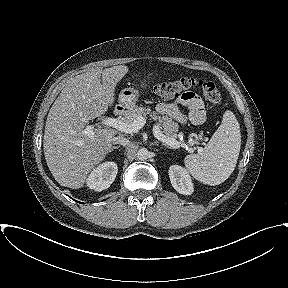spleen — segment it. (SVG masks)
<instances>
[{
  "label": "spleen",
  "mask_w": 288,
  "mask_h": 288,
  "mask_svg": "<svg viewBox=\"0 0 288 288\" xmlns=\"http://www.w3.org/2000/svg\"><path fill=\"white\" fill-rule=\"evenodd\" d=\"M240 147L239 123L233 112L227 110L203 151L185 157V167L198 181L211 186L219 185L234 171Z\"/></svg>",
  "instance_id": "spleen-1"
}]
</instances>
